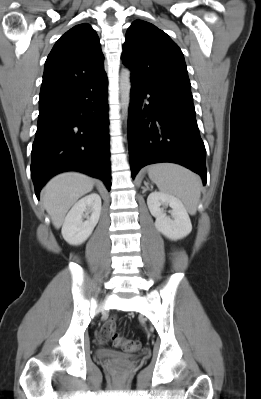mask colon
<instances>
[{"label":"colon","instance_id":"colon-1","mask_svg":"<svg viewBox=\"0 0 261 399\" xmlns=\"http://www.w3.org/2000/svg\"><path fill=\"white\" fill-rule=\"evenodd\" d=\"M111 334L113 343L126 352H136L141 347V342L139 340L125 339L115 331V328H113Z\"/></svg>","mask_w":261,"mask_h":399}]
</instances>
